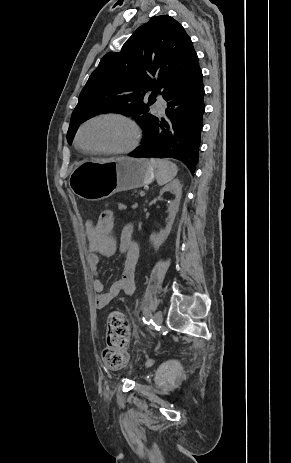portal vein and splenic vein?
<instances>
[{
  "label": "portal vein and splenic vein",
  "mask_w": 291,
  "mask_h": 463,
  "mask_svg": "<svg viewBox=\"0 0 291 463\" xmlns=\"http://www.w3.org/2000/svg\"><path fill=\"white\" fill-rule=\"evenodd\" d=\"M140 196H142V197L145 196V192L141 191Z\"/></svg>",
  "instance_id": "18ae733b"
}]
</instances>
